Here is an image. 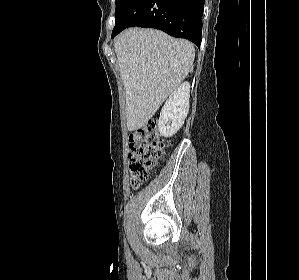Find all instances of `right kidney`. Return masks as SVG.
<instances>
[{
  "instance_id": "right-kidney-1",
  "label": "right kidney",
  "mask_w": 299,
  "mask_h": 280,
  "mask_svg": "<svg viewBox=\"0 0 299 280\" xmlns=\"http://www.w3.org/2000/svg\"><path fill=\"white\" fill-rule=\"evenodd\" d=\"M190 84L182 83L169 96L160 112L158 129L162 136L172 137L184 124L189 111Z\"/></svg>"
}]
</instances>
